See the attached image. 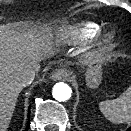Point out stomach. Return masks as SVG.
Listing matches in <instances>:
<instances>
[{"label": "stomach", "mask_w": 131, "mask_h": 131, "mask_svg": "<svg viewBox=\"0 0 131 131\" xmlns=\"http://www.w3.org/2000/svg\"><path fill=\"white\" fill-rule=\"evenodd\" d=\"M86 83L89 88H97L102 81V66L100 63H92L86 70Z\"/></svg>", "instance_id": "stomach-1"}]
</instances>
